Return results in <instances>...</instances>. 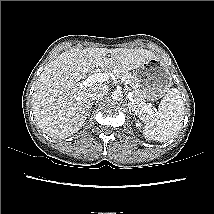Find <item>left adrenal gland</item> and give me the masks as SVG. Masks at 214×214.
Segmentation results:
<instances>
[{
    "instance_id": "a2214340",
    "label": "left adrenal gland",
    "mask_w": 214,
    "mask_h": 214,
    "mask_svg": "<svg viewBox=\"0 0 214 214\" xmlns=\"http://www.w3.org/2000/svg\"><path fill=\"white\" fill-rule=\"evenodd\" d=\"M128 106H129V111L131 112V105H130L129 101H128Z\"/></svg>"
}]
</instances>
